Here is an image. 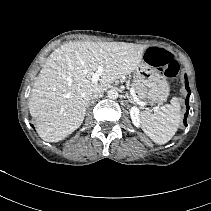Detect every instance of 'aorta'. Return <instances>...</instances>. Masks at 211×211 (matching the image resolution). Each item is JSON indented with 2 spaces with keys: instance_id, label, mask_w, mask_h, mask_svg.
I'll list each match as a JSON object with an SVG mask.
<instances>
[{
  "instance_id": "1",
  "label": "aorta",
  "mask_w": 211,
  "mask_h": 211,
  "mask_svg": "<svg viewBox=\"0 0 211 211\" xmlns=\"http://www.w3.org/2000/svg\"><path fill=\"white\" fill-rule=\"evenodd\" d=\"M107 96H108L109 99H113L114 100V99L118 98L119 93H118L117 90L111 89V90L108 91Z\"/></svg>"
}]
</instances>
